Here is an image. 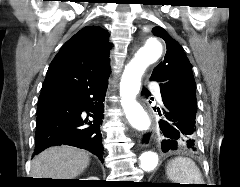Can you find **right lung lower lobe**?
<instances>
[{
  "instance_id": "obj_1",
  "label": "right lung lower lobe",
  "mask_w": 240,
  "mask_h": 187,
  "mask_svg": "<svg viewBox=\"0 0 240 187\" xmlns=\"http://www.w3.org/2000/svg\"><path fill=\"white\" fill-rule=\"evenodd\" d=\"M108 78L38 102L35 154L55 145H72L95 154L103 162L100 126Z\"/></svg>"
}]
</instances>
